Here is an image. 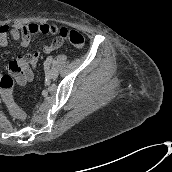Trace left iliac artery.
<instances>
[{
	"label": "left iliac artery",
	"instance_id": "44dca946",
	"mask_svg": "<svg viewBox=\"0 0 172 172\" xmlns=\"http://www.w3.org/2000/svg\"><path fill=\"white\" fill-rule=\"evenodd\" d=\"M47 60H48L49 62H52V57L49 56V57L47 58Z\"/></svg>",
	"mask_w": 172,
	"mask_h": 172
}]
</instances>
